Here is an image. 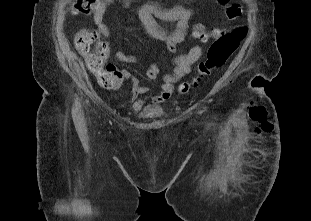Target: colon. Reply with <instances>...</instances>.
I'll return each instance as SVG.
<instances>
[{
  "label": "colon",
  "mask_w": 311,
  "mask_h": 221,
  "mask_svg": "<svg viewBox=\"0 0 311 221\" xmlns=\"http://www.w3.org/2000/svg\"><path fill=\"white\" fill-rule=\"evenodd\" d=\"M112 3L115 0H110ZM109 0H78L69 1L67 10L70 17H94L98 10V4H108ZM89 4V5H87ZM221 8L226 9L231 20H237L245 16L242 10V2H233V0H221ZM194 36L199 41L208 40L213 34H218V39L210 46L207 58L201 61L197 67L196 75L189 81L183 82L178 86L179 94H187L191 89L200 85L202 80L210 76L214 70H217L226 63L238 49L242 39L246 36L245 26H238L229 36H224V31L215 29L211 34L204 31L202 24L193 25ZM75 47L85 60L88 70L94 75L97 82L102 87L111 86L114 83L115 76L113 70L106 66L108 59V44L100 38L96 31L89 29L80 30L74 39Z\"/></svg>",
  "instance_id": "1"
}]
</instances>
